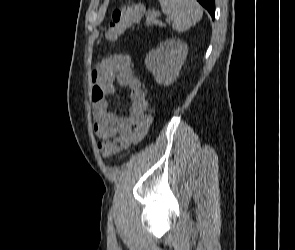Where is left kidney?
<instances>
[{
  "instance_id": "5707ae66",
  "label": "left kidney",
  "mask_w": 295,
  "mask_h": 250,
  "mask_svg": "<svg viewBox=\"0 0 295 250\" xmlns=\"http://www.w3.org/2000/svg\"><path fill=\"white\" fill-rule=\"evenodd\" d=\"M187 53V44L172 38L150 51L146 56L145 65L159 85L169 86L178 77Z\"/></svg>"
}]
</instances>
